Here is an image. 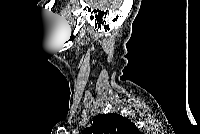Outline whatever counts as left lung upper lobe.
I'll list each match as a JSON object with an SVG mask.
<instances>
[{"label": "left lung upper lobe", "instance_id": "5c2ea615", "mask_svg": "<svg viewBox=\"0 0 200 134\" xmlns=\"http://www.w3.org/2000/svg\"><path fill=\"white\" fill-rule=\"evenodd\" d=\"M84 134H140L129 119L114 113L98 115L93 118L92 127Z\"/></svg>", "mask_w": 200, "mask_h": 134}]
</instances>
